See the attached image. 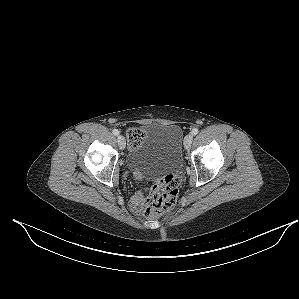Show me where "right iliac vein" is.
I'll return each mask as SVG.
<instances>
[{"label": "right iliac vein", "mask_w": 299, "mask_h": 299, "mask_svg": "<svg viewBox=\"0 0 299 299\" xmlns=\"http://www.w3.org/2000/svg\"><path fill=\"white\" fill-rule=\"evenodd\" d=\"M117 141H118V145H119L120 149H124V148H125V145H126V141H125L124 136L119 135V136L117 137Z\"/></svg>", "instance_id": "1"}]
</instances>
